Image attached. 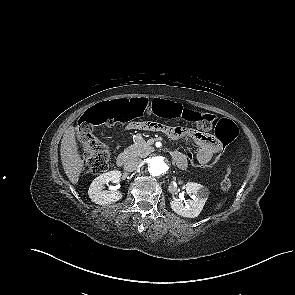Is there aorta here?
<instances>
[{"label": "aorta", "mask_w": 295, "mask_h": 295, "mask_svg": "<svg viewBox=\"0 0 295 295\" xmlns=\"http://www.w3.org/2000/svg\"><path fill=\"white\" fill-rule=\"evenodd\" d=\"M168 164L162 156L152 157L149 161L148 170L152 176H161L168 171Z\"/></svg>", "instance_id": "762f6f07"}]
</instances>
